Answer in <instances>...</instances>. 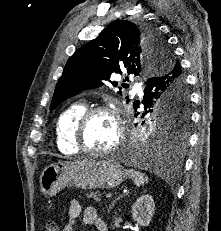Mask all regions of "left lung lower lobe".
Instances as JSON below:
<instances>
[{"instance_id":"1","label":"left lung lower lobe","mask_w":221,"mask_h":231,"mask_svg":"<svg viewBox=\"0 0 221 231\" xmlns=\"http://www.w3.org/2000/svg\"><path fill=\"white\" fill-rule=\"evenodd\" d=\"M178 61H175V65L171 70H168L161 74H155L147 80L146 87L144 89V96L142 103L146 100L149 101L159 95L172 94V90L176 88L186 89V81L181 70V67L177 66ZM187 92V90H186ZM167 102V101H166ZM169 101L168 105L170 104ZM182 100L172 101L171 104L177 105L182 104ZM138 103H140L138 101ZM186 144V138H178L174 141L169 140L166 137H157L156 135L151 137L147 142L146 147L138 149L134 153V159L141 161H157L161 157L165 149L169 148L174 156H178ZM174 161H178L174 158Z\"/></svg>"}]
</instances>
